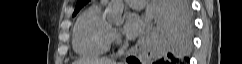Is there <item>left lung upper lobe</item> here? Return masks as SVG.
Wrapping results in <instances>:
<instances>
[{"label":"left lung upper lobe","mask_w":242,"mask_h":64,"mask_svg":"<svg viewBox=\"0 0 242 64\" xmlns=\"http://www.w3.org/2000/svg\"><path fill=\"white\" fill-rule=\"evenodd\" d=\"M90 0H77V3H76V7H75V11L73 13V16H75L79 10L89 2Z\"/></svg>","instance_id":"left-lung-upper-lobe-1"}]
</instances>
